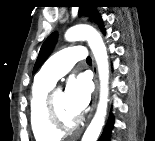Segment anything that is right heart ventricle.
I'll return each instance as SVG.
<instances>
[{"instance_id": "obj_1", "label": "right heart ventricle", "mask_w": 155, "mask_h": 141, "mask_svg": "<svg viewBox=\"0 0 155 141\" xmlns=\"http://www.w3.org/2000/svg\"><path fill=\"white\" fill-rule=\"evenodd\" d=\"M54 86L53 83L36 79L30 96V123L37 141H57L62 133L55 131L47 122L45 98Z\"/></svg>"}]
</instances>
